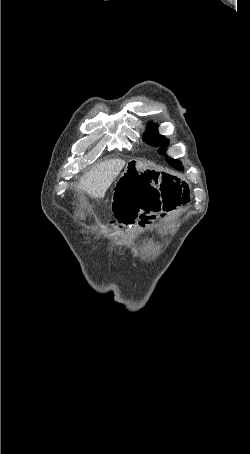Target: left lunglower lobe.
<instances>
[{"label": "left lung lower lobe", "mask_w": 250, "mask_h": 454, "mask_svg": "<svg viewBox=\"0 0 250 454\" xmlns=\"http://www.w3.org/2000/svg\"><path fill=\"white\" fill-rule=\"evenodd\" d=\"M174 168L178 169V170H182L183 167L181 165V162H179L178 160H174V161H170L169 162Z\"/></svg>", "instance_id": "1"}]
</instances>
